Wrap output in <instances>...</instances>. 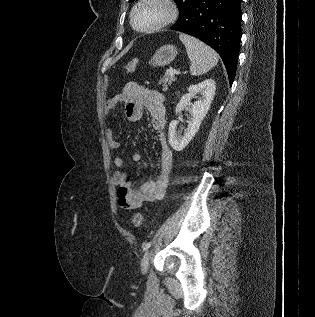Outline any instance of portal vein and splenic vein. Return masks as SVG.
<instances>
[{
	"instance_id": "18ae733b",
	"label": "portal vein and splenic vein",
	"mask_w": 315,
	"mask_h": 317,
	"mask_svg": "<svg viewBox=\"0 0 315 317\" xmlns=\"http://www.w3.org/2000/svg\"><path fill=\"white\" fill-rule=\"evenodd\" d=\"M169 73L171 76H174L175 74H177V75L180 74V71L171 69V70H169Z\"/></svg>"
}]
</instances>
